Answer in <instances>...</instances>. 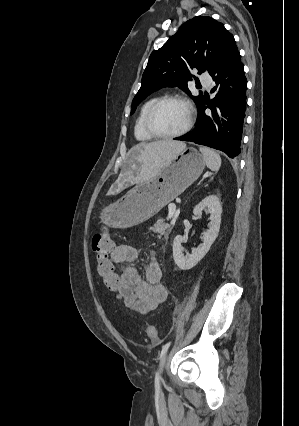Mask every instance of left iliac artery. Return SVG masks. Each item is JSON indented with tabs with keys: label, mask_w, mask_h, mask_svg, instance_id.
<instances>
[{
	"label": "left iliac artery",
	"mask_w": 299,
	"mask_h": 426,
	"mask_svg": "<svg viewBox=\"0 0 299 426\" xmlns=\"http://www.w3.org/2000/svg\"><path fill=\"white\" fill-rule=\"evenodd\" d=\"M170 344H171V341H170V342H168V343H166V344L162 347V351H161V354H160V359H161V358L164 356V354L167 352V350H168V348H169ZM159 379H160L159 374H158V372H156V376H155V383H156V385H158V384H159Z\"/></svg>",
	"instance_id": "left-iliac-artery-1"
}]
</instances>
